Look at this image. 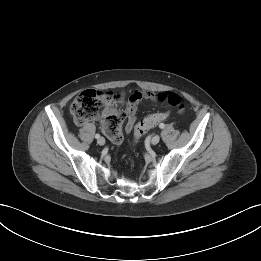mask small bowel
Wrapping results in <instances>:
<instances>
[{"instance_id":"c3829d8e","label":"small bowel","mask_w":261,"mask_h":261,"mask_svg":"<svg viewBox=\"0 0 261 261\" xmlns=\"http://www.w3.org/2000/svg\"><path fill=\"white\" fill-rule=\"evenodd\" d=\"M144 100L152 101V102L159 101L158 95L154 94L152 92H149V91L136 90L129 96L128 99H126L124 93H120L116 97V106L108 107L107 109H105L103 112V116L106 119L107 117H109L111 115L118 114L119 109H120L119 107L125 105V109L123 110L124 119H126V123L124 126V132L130 133L133 130L135 122H136L137 106L140 102H142ZM104 123H105V121L103 122V124ZM104 133H105V131H104ZM122 140H123V136H122ZM120 143H115V144H120Z\"/></svg>"}]
</instances>
